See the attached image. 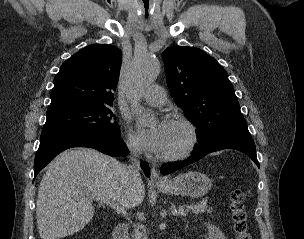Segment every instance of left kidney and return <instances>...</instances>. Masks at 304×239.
<instances>
[{
  "label": "left kidney",
  "mask_w": 304,
  "mask_h": 239,
  "mask_svg": "<svg viewBox=\"0 0 304 239\" xmlns=\"http://www.w3.org/2000/svg\"><path fill=\"white\" fill-rule=\"evenodd\" d=\"M208 229V239H226L219 227L205 223Z\"/></svg>",
  "instance_id": "left-kidney-1"
}]
</instances>
